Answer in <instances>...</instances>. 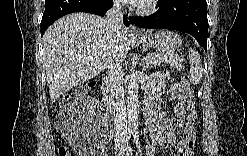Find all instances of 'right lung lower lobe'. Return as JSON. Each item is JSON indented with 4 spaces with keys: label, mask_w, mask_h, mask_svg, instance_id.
Wrapping results in <instances>:
<instances>
[{
    "label": "right lung lower lobe",
    "mask_w": 247,
    "mask_h": 156,
    "mask_svg": "<svg viewBox=\"0 0 247 156\" xmlns=\"http://www.w3.org/2000/svg\"><path fill=\"white\" fill-rule=\"evenodd\" d=\"M45 5L41 36L54 21L69 13L86 12L102 16L113 6V0H46ZM123 22L126 26L129 25L125 15Z\"/></svg>",
    "instance_id": "98d812e1"
}]
</instances>
